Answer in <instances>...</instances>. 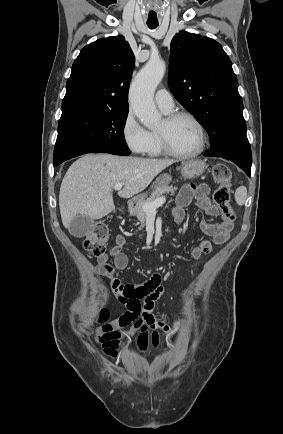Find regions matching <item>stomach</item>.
<instances>
[{
	"instance_id": "obj_1",
	"label": "stomach",
	"mask_w": 283,
	"mask_h": 434,
	"mask_svg": "<svg viewBox=\"0 0 283 434\" xmlns=\"http://www.w3.org/2000/svg\"><path fill=\"white\" fill-rule=\"evenodd\" d=\"M207 165L201 160H189L185 161L181 165V174L184 179H194L205 172ZM169 174L160 175L155 181V187L168 185L171 181ZM146 194L138 195L134 198V201L138 204L145 200Z\"/></svg>"
}]
</instances>
